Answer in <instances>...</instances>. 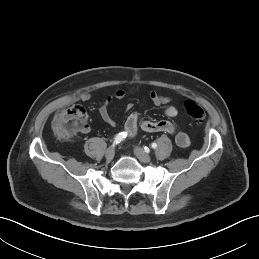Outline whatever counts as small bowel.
Wrapping results in <instances>:
<instances>
[{
  "mask_svg": "<svg viewBox=\"0 0 259 259\" xmlns=\"http://www.w3.org/2000/svg\"><path fill=\"white\" fill-rule=\"evenodd\" d=\"M129 93L126 89H118L114 92L113 97L116 99H123ZM92 97L89 92H81L78 95V99L81 101H88ZM112 96L107 97V99L99 107V114L102 120L109 126H115L116 122L114 118L109 113V105L113 98ZM150 98L152 102L156 105H160L168 102L170 99L166 96L160 94L157 90H152L150 92ZM178 114V110L175 105L167 104L164 108V115L168 118H174ZM138 127L149 133H166L174 136V140L179 147H188L191 143L190 137L187 133L177 131L175 125L169 120L160 121H148L144 120L138 112H132L126 119L124 124V131L126 137L132 138L136 135ZM90 127L86 125L81 131L84 133L89 132Z\"/></svg>",
  "mask_w": 259,
  "mask_h": 259,
  "instance_id": "small-bowel-1",
  "label": "small bowel"
}]
</instances>
